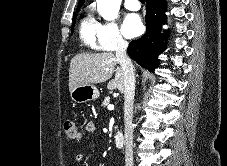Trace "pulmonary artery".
Segmentation results:
<instances>
[{"label":"pulmonary artery","instance_id":"e3ab8cb5","mask_svg":"<svg viewBox=\"0 0 227 166\" xmlns=\"http://www.w3.org/2000/svg\"><path fill=\"white\" fill-rule=\"evenodd\" d=\"M124 5L130 11H138L141 7L139 0H125Z\"/></svg>","mask_w":227,"mask_h":166}]
</instances>
